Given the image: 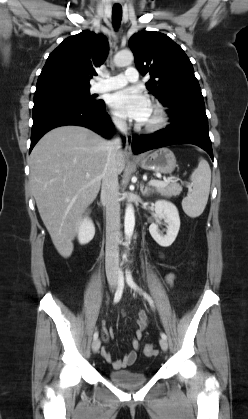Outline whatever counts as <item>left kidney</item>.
<instances>
[{
    "instance_id": "obj_1",
    "label": "left kidney",
    "mask_w": 248,
    "mask_h": 419,
    "mask_svg": "<svg viewBox=\"0 0 248 419\" xmlns=\"http://www.w3.org/2000/svg\"><path fill=\"white\" fill-rule=\"evenodd\" d=\"M154 206L155 213L167 223V231L166 235H162L158 230V225L152 223L149 226V232L160 246L168 247L175 241L179 232L180 218L178 210L173 203L166 200H158Z\"/></svg>"
}]
</instances>
